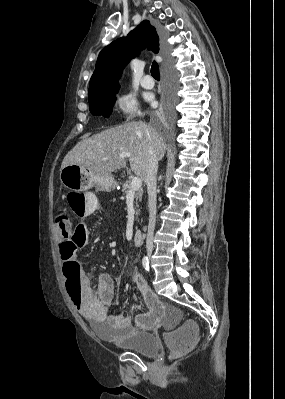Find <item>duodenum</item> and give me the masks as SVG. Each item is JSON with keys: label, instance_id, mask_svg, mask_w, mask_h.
I'll list each match as a JSON object with an SVG mask.
<instances>
[{"label": "duodenum", "instance_id": "410a0bca", "mask_svg": "<svg viewBox=\"0 0 285 399\" xmlns=\"http://www.w3.org/2000/svg\"><path fill=\"white\" fill-rule=\"evenodd\" d=\"M145 233L141 229H137L133 234V241L136 245H140L144 239Z\"/></svg>", "mask_w": 285, "mask_h": 399}]
</instances>
